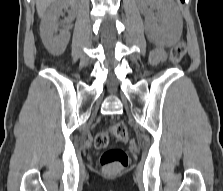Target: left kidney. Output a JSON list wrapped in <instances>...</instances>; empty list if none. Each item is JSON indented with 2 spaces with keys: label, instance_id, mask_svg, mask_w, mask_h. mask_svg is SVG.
I'll return each instance as SVG.
<instances>
[{
  "label": "left kidney",
  "instance_id": "left-kidney-1",
  "mask_svg": "<svg viewBox=\"0 0 223 191\" xmlns=\"http://www.w3.org/2000/svg\"><path fill=\"white\" fill-rule=\"evenodd\" d=\"M150 38L161 45H173L182 31V18L172 0H138ZM154 10H158L155 15Z\"/></svg>",
  "mask_w": 223,
  "mask_h": 191
}]
</instances>
